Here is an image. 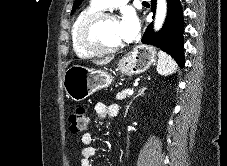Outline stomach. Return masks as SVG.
I'll return each mask as SVG.
<instances>
[{
    "instance_id": "0dacf381",
    "label": "stomach",
    "mask_w": 227,
    "mask_h": 166,
    "mask_svg": "<svg viewBox=\"0 0 227 166\" xmlns=\"http://www.w3.org/2000/svg\"><path fill=\"white\" fill-rule=\"evenodd\" d=\"M156 59V50L151 46L138 45L122 57L117 67L127 76L137 75L149 69ZM113 77L102 70L81 65L68 67L63 76V86L67 96L76 102L83 101L99 89L108 87Z\"/></svg>"
}]
</instances>
